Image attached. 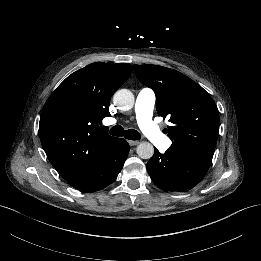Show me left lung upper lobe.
<instances>
[{
    "label": "left lung upper lobe",
    "mask_w": 261,
    "mask_h": 261,
    "mask_svg": "<svg viewBox=\"0 0 261 261\" xmlns=\"http://www.w3.org/2000/svg\"><path fill=\"white\" fill-rule=\"evenodd\" d=\"M135 74L156 94L159 116L168 117L170 148L195 149L213 155L219 113L212 97L184 74L158 65H134ZM167 133V129H166Z\"/></svg>",
    "instance_id": "left-lung-upper-lobe-1"
}]
</instances>
